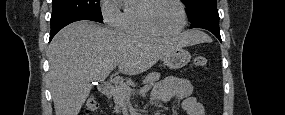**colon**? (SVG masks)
Instances as JSON below:
<instances>
[{"instance_id":"5ec220e1","label":"colon","mask_w":285,"mask_h":115,"mask_svg":"<svg viewBox=\"0 0 285 115\" xmlns=\"http://www.w3.org/2000/svg\"><path fill=\"white\" fill-rule=\"evenodd\" d=\"M194 65L197 68L206 69L208 67V60L205 56H197L194 59ZM98 109H99L98 101L93 97L88 98L86 103H85V112L87 114L94 113Z\"/></svg>"}]
</instances>
